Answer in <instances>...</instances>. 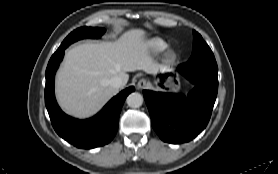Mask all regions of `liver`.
I'll return each instance as SVG.
<instances>
[{"label": "liver", "instance_id": "6515ba94", "mask_svg": "<svg viewBox=\"0 0 278 174\" xmlns=\"http://www.w3.org/2000/svg\"><path fill=\"white\" fill-rule=\"evenodd\" d=\"M163 66L148 51L145 31L131 29L114 42H87L68 50L56 76L55 93L61 108L77 118L96 114L118 89L109 80L118 76L126 85V72L157 74Z\"/></svg>", "mask_w": 278, "mask_h": 174}]
</instances>
